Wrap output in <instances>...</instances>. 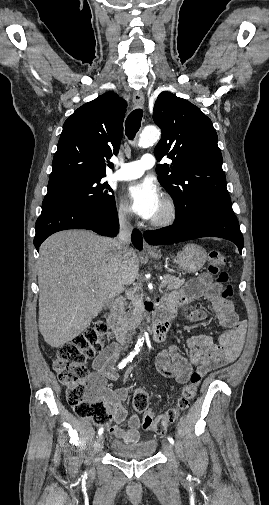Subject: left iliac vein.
I'll return each instance as SVG.
<instances>
[{
  "label": "left iliac vein",
  "instance_id": "1",
  "mask_svg": "<svg viewBox=\"0 0 269 505\" xmlns=\"http://www.w3.org/2000/svg\"><path fill=\"white\" fill-rule=\"evenodd\" d=\"M163 448L167 453L173 454V447L169 442L163 441Z\"/></svg>",
  "mask_w": 269,
  "mask_h": 505
}]
</instances>
